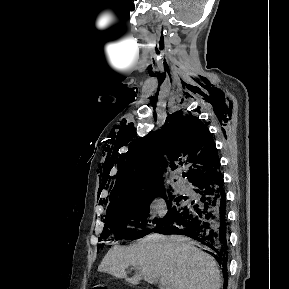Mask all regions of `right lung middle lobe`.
<instances>
[{"label": "right lung middle lobe", "mask_w": 289, "mask_h": 289, "mask_svg": "<svg viewBox=\"0 0 289 289\" xmlns=\"http://www.w3.org/2000/svg\"><path fill=\"white\" fill-rule=\"evenodd\" d=\"M157 196L166 200L168 212L162 220L154 219L153 224L161 223L184 205L181 203L182 198H175L170 188L134 195L108 206L105 226L100 238H107L113 233L115 239H136L150 233L151 230H144V227L148 222L149 205Z\"/></svg>", "instance_id": "1"}]
</instances>
